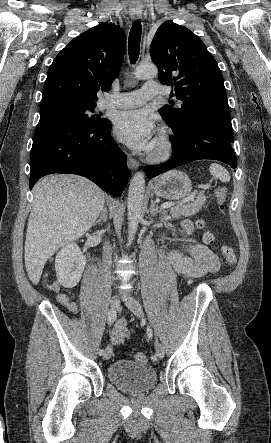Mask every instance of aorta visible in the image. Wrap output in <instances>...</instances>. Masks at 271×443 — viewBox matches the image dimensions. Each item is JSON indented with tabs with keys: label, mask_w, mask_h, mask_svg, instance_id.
<instances>
[{
	"label": "aorta",
	"mask_w": 271,
	"mask_h": 443,
	"mask_svg": "<svg viewBox=\"0 0 271 443\" xmlns=\"http://www.w3.org/2000/svg\"><path fill=\"white\" fill-rule=\"evenodd\" d=\"M135 78H156L158 70L154 64H139L135 72ZM145 194V180L142 172L133 176L128 192V241L131 243L138 229V223L142 220V208Z\"/></svg>",
	"instance_id": "1"
}]
</instances>
